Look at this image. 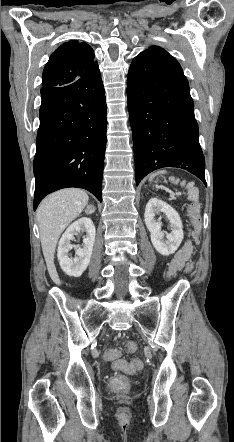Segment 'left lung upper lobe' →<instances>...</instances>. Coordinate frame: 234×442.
Returning <instances> with one entry per match:
<instances>
[{"mask_svg": "<svg viewBox=\"0 0 234 442\" xmlns=\"http://www.w3.org/2000/svg\"><path fill=\"white\" fill-rule=\"evenodd\" d=\"M142 53H164L169 55L164 49L158 47V46H152L149 49L145 50Z\"/></svg>", "mask_w": 234, "mask_h": 442, "instance_id": "5c2ea615", "label": "left lung upper lobe"}]
</instances>
